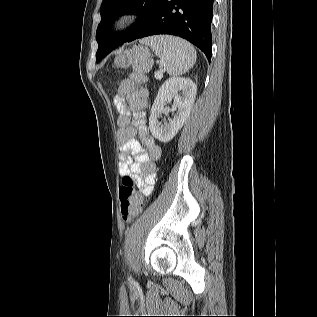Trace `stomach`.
Listing matches in <instances>:
<instances>
[{
  "mask_svg": "<svg viewBox=\"0 0 317 317\" xmlns=\"http://www.w3.org/2000/svg\"><path fill=\"white\" fill-rule=\"evenodd\" d=\"M128 57H132L134 56V53L136 55H142L145 58H149L150 57V53L149 50L147 48H143V47H135L133 48V50L128 51Z\"/></svg>",
  "mask_w": 317,
  "mask_h": 317,
  "instance_id": "0dacf381",
  "label": "stomach"
}]
</instances>
